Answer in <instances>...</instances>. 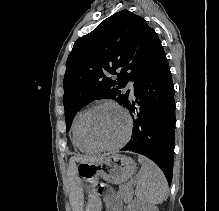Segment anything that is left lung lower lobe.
Segmentation results:
<instances>
[{"mask_svg": "<svg viewBox=\"0 0 219 211\" xmlns=\"http://www.w3.org/2000/svg\"><path fill=\"white\" fill-rule=\"evenodd\" d=\"M135 99L124 106L133 117L130 141L121 149L154 161L172 181L175 138L174 85L165 53L134 84Z\"/></svg>", "mask_w": 219, "mask_h": 211, "instance_id": "0a47b994", "label": "left lung lower lobe"}]
</instances>
